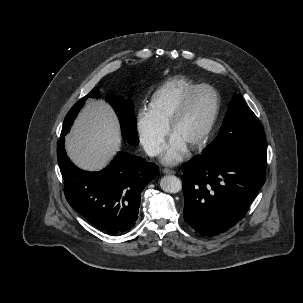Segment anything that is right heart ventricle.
<instances>
[{
    "label": "right heart ventricle",
    "mask_w": 303,
    "mask_h": 303,
    "mask_svg": "<svg viewBox=\"0 0 303 303\" xmlns=\"http://www.w3.org/2000/svg\"><path fill=\"white\" fill-rule=\"evenodd\" d=\"M199 83L185 76H174L164 81L153 93L149 110L161 123L168 125L169 120L183 98Z\"/></svg>",
    "instance_id": "obj_1"
}]
</instances>
